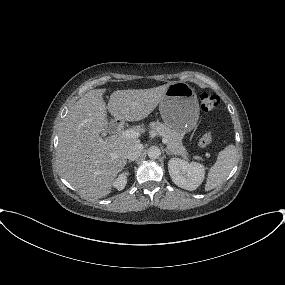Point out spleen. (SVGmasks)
<instances>
[{"instance_id": "1", "label": "spleen", "mask_w": 285, "mask_h": 285, "mask_svg": "<svg viewBox=\"0 0 285 285\" xmlns=\"http://www.w3.org/2000/svg\"><path fill=\"white\" fill-rule=\"evenodd\" d=\"M237 160V151L233 144L219 152L216 163L210 168L205 190L219 186L229 175Z\"/></svg>"}]
</instances>
